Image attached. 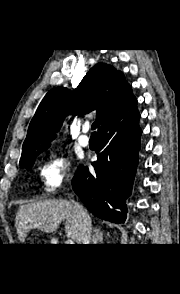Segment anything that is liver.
Segmentation results:
<instances>
[{
	"instance_id": "1",
	"label": "liver",
	"mask_w": 180,
	"mask_h": 294,
	"mask_svg": "<svg viewBox=\"0 0 180 294\" xmlns=\"http://www.w3.org/2000/svg\"><path fill=\"white\" fill-rule=\"evenodd\" d=\"M65 222V233L76 244L81 243L80 219L72 202L63 199H49L21 205L15 225L21 243L31 229L53 233L61 221Z\"/></svg>"
}]
</instances>
